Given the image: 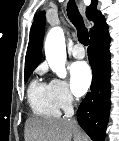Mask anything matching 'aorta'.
Instances as JSON below:
<instances>
[{
	"mask_svg": "<svg viewBox=\"0 0 119 141\" xmlns=\"http://www.w3.org/2000/svg\"><path fill=\"white\" fill-rule=\"evenodd\" d=\"M46 60L51 70L60 78L66 77V45L64 32L60 27L52 28L45 40Z\"/></svg>",
	"mask_w": 119,
	"mask_h": 141,
	"instance_id": "obj_1",
	"label": "aorta"
}]
</instances>
